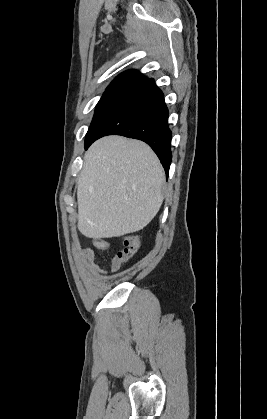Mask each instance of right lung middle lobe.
I'll return each instance as SVG.
<instances>
[{"instance_id": "obj_1", "label": "right lung middle lobe", "mask_w": 267, "mask_h": 419, "mask_svg": "<svg viewBox=\"0 0 267 419\" xmlns=\"http://www.w3.org/2000/svg\"><path fill=\"white\" fill-rule=\"evenodd\" d=\"M128 93L125 92H110L104 93L100 101L98 102L93 120L88 129L85 138V147L88 145L93 137L94 131L102 121V119L108 114V112L117 105Z\"/></svg>"}]
</instances>
